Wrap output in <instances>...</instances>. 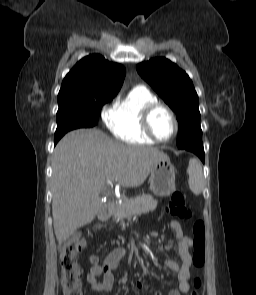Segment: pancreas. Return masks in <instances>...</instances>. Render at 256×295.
Returning <instances> with one entry per match:
<instances>
[{"label":"pancreas","mask_w":256,"mask_h":295,"mask_svg":"<svg viewBox=\"0 0 256 295\" xmlns=\"http://www.w3.org/2000/svg\"><path fill=\"white\" fill-rule=\"evenodd\" d=\"M157 206V200L151 195H139L135 198L125 200L117 205L113 211L116 221H122L124 218H131L135 214H146L153 211Z\"/></svg>","instance_id":"obj_1"}]
</instances>
